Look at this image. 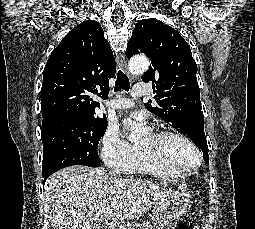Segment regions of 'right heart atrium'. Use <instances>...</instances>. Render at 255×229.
<instances>
[{"label": "right heart atrium", "instance_id": "obj_1", "mask_svg": "<svg viewBox=\"0 0 255 229\" xmlns=\"http://www.w3.org/2000/svg\"><path fill=\"white\" fill-rule=\"evenodd\" d=\"M133 151L134 146L127 142L115 128H109L101 139V158L112 170L123 171Z\"/></svg>", "mask_w": 255, "mask_h": 229}]
</instances>
